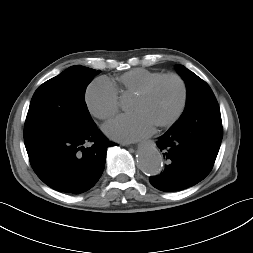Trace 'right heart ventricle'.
Wrapping results in <instances>:
<instances>
[{
    "mask_svg": "<svg viewBox=\"0 0 253 253\" xmlns=\"http://www.w3.org/2000/svg\"><path fill=\"white\" fill-rule=\"evenodd\" d=\"M160 75L161 72L135 68L118 76L113 86L121 95H135L144 85Z\"/></svg>",
    "mask_w": 253,
    "mask_h": 253,
    "instance_id": "1",
    "label": "right heart ventricle"
}]
</instances>
